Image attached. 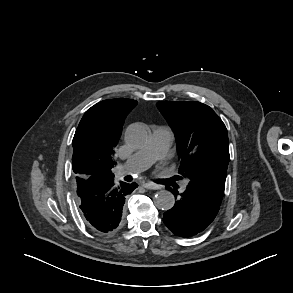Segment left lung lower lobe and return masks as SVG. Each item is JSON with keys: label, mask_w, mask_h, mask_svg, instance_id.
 Masks as SVG:
<instances>
[{"label": "left lung lower lobe", "mask_w": 293, "mask_h": 293, "mask_svg": "<svg viewBox=\"0 0 293 293\" xmlns=\"http://www.w3.org/2000/svg\"><path fill=\"white\" fill-rule=\"evenodd\" d=\"M166 189L175 196L174 206L166 211L163 221L170 231L179 237H190L203 231L216 217L221 200L188 184L180 188L174 181Z\"/></svg>", "instance_id": "obj_1"}]
</instances>
